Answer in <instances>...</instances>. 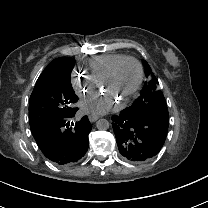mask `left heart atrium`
I'll return each instance as SVG.
<instances>
[{
    "label": "left heart atrium",
    "mask_w": 208,
    "mask_h": 208,
    "mask_svg": "<svg viewBox=\"0 0 208 208\" xmlns=\"http://www.w3.org/2000/svg\"><path fill=\"white\" fill-rule=\"evenodd\" d=\"M110 101L104 99L90 98L81 102V109L85 113L89 114H103L110 108Z\"/></svg>",
    "instance_id": "left-heart-atrium-1"
}]
</instances>
